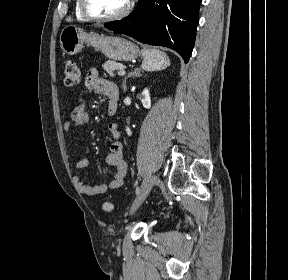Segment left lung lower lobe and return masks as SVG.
I'll list each match as a JSON object with an SVG mask.
<instances>
[{"label": "left lung lower lobe", "mask_w": 288, "mask_h": 280, "mask_svg": "<svg viewBox=\"0 0 288 280\" xmlns=\"http://www.w3.org/2000/svg\"><path fill=\"white\" fill-rule=\"evenodd\" d=\"M200 4L201 0H139L128 17L104 26L144 44L171 48L187 63L195 43Z\"/></svg>", "instance_id": "obj_1"}]
</instances>
